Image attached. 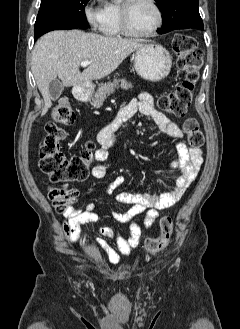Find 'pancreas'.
I'll list each match as a JSON object with an SVG mask.
<instances>
[{
    "label": "pancreas",
    "instance_id": "1",
    "mask_svg": "<svg viewBox=\"0 0 240 329\" xmlns=\"http://www.w3.org/2000/svg\"><path fill=\"white\" fill-rule=\"evenodd\" d=\"M121 87L123 89L132 88V84L128 83L125 79H114L112 82L101 84L91 99V104L95 108H100L107 98V95L112 94L116 88Z\"/></svg>",
    "mask_w": 240,
    "mask_h": 329
}]
</instances>
